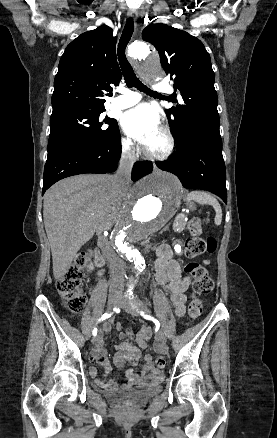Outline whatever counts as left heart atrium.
I'll use <instances>...</instances> for the list:
<instances>
[{
	"label": "left heart atrium",
	"instance_id": "1",
	"mask_svg": "<svg viewBox=\"0 0 277 438\" xmlns=\"http://www.w3.org/2000/svg\"><path fill=\"white\" fill-rule=\"evenodd\" d=\"M121 123L124 130L135 138L145 151H147L151 140L160 133L159 117L154 109L147 104L140 105L125 113Z\"/></svg>",
	"mask_w": 277,
	"mask_h": 438
}]
</instances>
